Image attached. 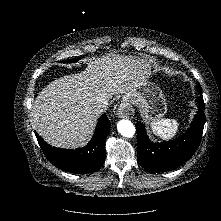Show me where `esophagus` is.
I'll use <instances>...</instances> for the list:
<instances>
[{
  "label": "esophagus",
  "instance_id": "1",
  "mask_svg": "<svg viewBox=\"0 0 221 221\" xmlns=\"http://www.w3.org/2000/svg\"><path fill=\"white\" fill-rule=\"evenodd\" d=\"M134 113L133 107L127 100H123L117 109V116L119 118H132Z\"/></svg>",
  "mask_w": 221,
  "mask_h": 221
}]
</instances>
